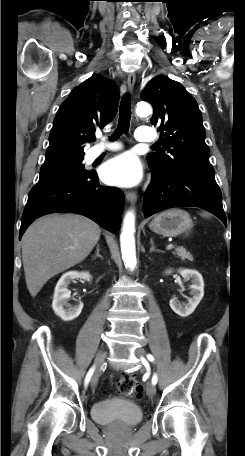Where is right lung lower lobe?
I'll return each instance as SVG.
<instances>
[{
    "label": "right lung lower lobe",
    "instance_id": "obj_1",
    "mask_svg": "<svg viewBox=\"0 0 245 456\" xmlns=\"http://www.w3.org/2000/svg\"><path fill=\"white\" fill-rule=\"evenodd\" d=\"M124 208L123 192L99 184L96 172L87 175L38 182L30 191L25 206L19 239L37 218L55 212L78 213L115 233Z\"/></svg>",
    "mask_w": 245,
    "mask_h": 456
}]
</instances>
